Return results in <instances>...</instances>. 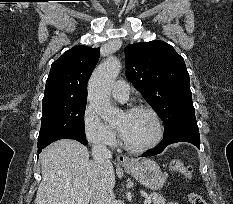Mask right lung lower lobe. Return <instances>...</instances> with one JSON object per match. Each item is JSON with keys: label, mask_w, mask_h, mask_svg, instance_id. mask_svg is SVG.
<instances>
[{"label": "right lung lower lobe", "mask_w": 233, "mask_h": 204, "mask_svg": "<svg viewBox=\"0 0 233 204\" xmlns=\"http://www.w3.org/2000/svg\"><path fill=\"white\" fill-rule=\"evenodd\" d=\"M66 139H74V140H77V141H79L80 143H82L84 145H86L88 143L86 138L71 137V138H66ZM45 147L46 146L38 148V153H40L42 151V149L45 148Z\"/></svg>", "instance_id": "right-lung-lower-lobe-1"}]
</instances>
